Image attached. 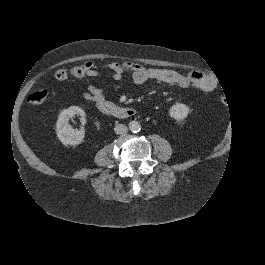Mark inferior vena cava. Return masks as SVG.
<instances>
[{
    "label": "inferior vena cava",
    "mask_w": 265,
    "mask_h": 265,
    "mask_svg": "<svg viewBox=\"0 0 265 265\" xmlns=\"http://www.w3.org/2000/svg\"><path fill=\"white\" fill-rule=\"evenodd\" d=\"M114 131L116 134H124V133H127L128 128L124 124H118L115 126Z\"/></svg>",
    "instance_id": "obj_1"
}]
</instances>
